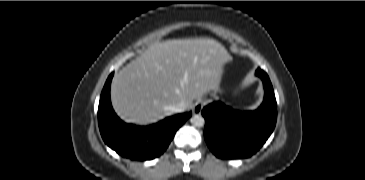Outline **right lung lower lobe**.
I'll return each instance as SVG.
<instances>
[{
	"label": "right lung lower lobe",
	"instance_id": "obj_1",
	"mask_svg": "<svg viewBox=\"0 0 365 180\" xmlns=\"http://www.w3.org/2000/svg\"><path fill=\"white\" fill-rule=\"evenodd\" d=\"M112 77L113 73L105 83L98 107V124L104 142L119 155L131 160L144 161L160 156L192 113L177 114L149 126L124 123L111 105Z\"/></svg>",
	"mask_w": 365,
	"mask_h": 180
}]
</instances>
